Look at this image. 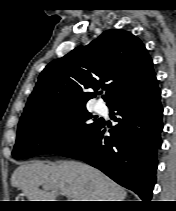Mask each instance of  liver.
Segmentation results:
<instances>
[{
  "label": "liver",
  "instance_id": "1",
  "mask_svg": "<svg viewBox=\"0 0 176 211\" xmlns=\"http://www.w3.org/2000/svg\"><path fill=\"white\" fill-rule=\"evenodd\" d=\"M11 185L29 201H58V194L77 201H124L127 192L100 170L77 161L25 163L15 169ZM43 186L44 190L39 189Z\"/></svg>",
  "mask_w": 176,
  "mask_h": 211
}]
</instances>
